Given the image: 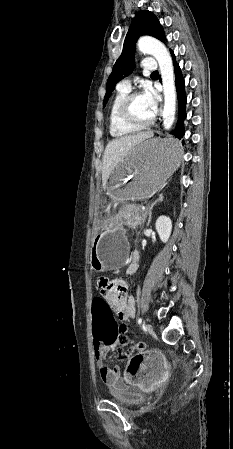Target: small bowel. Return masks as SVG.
<instances>
[{
	"mask_svg": "<svg viewBox=\"0 0 233 449\" xmlns=\"http://www.w3.org/2000/svg\"><path fill=\"white\" fill-rule=\"evenodd\" d=\"M137 268L138 259L132 257L127 266V274H134ZM97 289L101 291L103 296V299L97 301H109L120 320L127 321L135 317V300L128 293V282L126 280L118 278L117 274H99ZM117 330L118 337L129 332L125 325L117 328ZM93 343V356L104 384L107 386L122 384L125 379L122 377L119 368H109L106 365V356L115 348L116 343H112L111 349H94ZM164 359V355L160 354L158 347H151L149 354H146L143 360L144 368H137L136 375H128V384H139V390H156V384H159L160 380L159 377H166L170 368L168 363H163Z\"/></svg>",
	"mask_w": 233,
	"mask_h": 449,
	"instance_id": "obj_1",
	"label": "small bowel"
}]
</instances>
